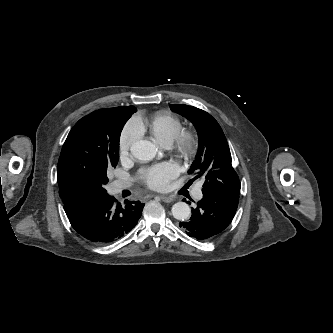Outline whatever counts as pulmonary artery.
<instances>
[{
  "instance_id": "pulmonary-artery-1",
  "label": "pulmonary artery",
  "mask_w": 333,
  "mask_h": 333,
  "mask_svg": "<svg viewBox=\"0 0 333 333\" xmlns=\"http://www.w3.org/2000/svg\"><path fill=\"white\" fill-rule=\"evenodd\" d=\"M170 145H166V147H169ZM129 186L128 182L116 180L112 183L111 188L113 193H118L122 191L123 189L127 188ZM194 197L197 200H200L202 198V192H201V186L198 185L194 192Z\"/></svg>"
}]
</instances>
